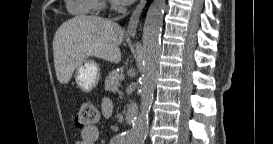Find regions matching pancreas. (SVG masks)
Listing matches in <instances>:
<instances>
[{
  "label": "pancreas",
  "instance_id": "obj_1",
  "mask_svg": "<svg viewBox=\"0 0 273 144\" xmlns=\"http://www.w3.org/2000/svg\"><path fill=\"white\" fill-rule=\"evenodd\" d=\"M120 73L112 70L105 79V89L108 91H117L119 87Z\"/></svg>",
  "mask_w": 273,
  "mask_h": 144
}]
</instances>
